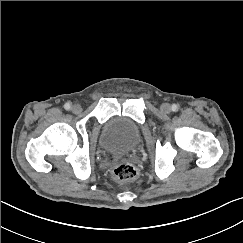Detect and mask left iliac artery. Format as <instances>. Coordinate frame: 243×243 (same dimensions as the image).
Segmentation results:
<instances>
[{
  "label": "left iliac artery",
  "mask_w": 243,
  "mask_h": 243,
  "mask_svg": "<svg viewBox=\"0 0 243 243\" xmlns=\"http://www.w3.org/2000/svg\"><path fill=\"white\" fill-rule=\"evenodd\" d=\"M172 110H173V111H177V110H178V106H177L176 104H173V105H172Z\"/></svg>",
  "instance_id": "obj_1"
}]
</instances>
